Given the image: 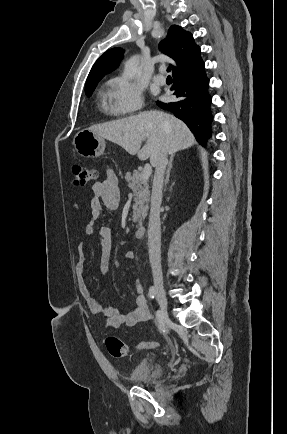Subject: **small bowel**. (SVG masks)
<instances>
[{
	"instance_id": "c3829d8e",
	"label": "small bowel",
	"mask_w": 287,
	"mask_h": 434,
	"mask_svg": "<svg viewBox=\"0 0 287 434\" xmlns=\"http://www.w3.org/2000/svg\"><path fill=\"white\" fill-rule=\"evenodd\" d=\"M93 196L90 199L91 218L85 226V235L96 234L100 238L101 259L100 273L106 276L111 257L113 231L109 226L98 225L96 220L105 210H114L118 207L120 192L118 178L112 169H108L103 180L97 181L92 185ZM78 263L76 265L75 276L76 285L79 293L85 299L89 310L98 315L104 316L105 325L111 329H117L124 325L128 328L136 326L138 323L145 322L150 318V311L147 300L143 292V285L139 279L135 280V309L131 313L123 314L119 309L110 307L99 302L92 294L86 282V255L83 242L77 247ZM136 254L128 250L124 253L126 262H134Z\"/></svg>"
}]
</instances>
